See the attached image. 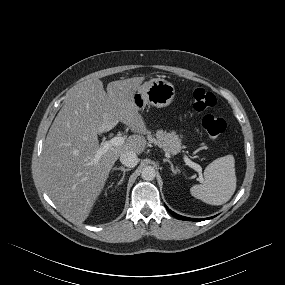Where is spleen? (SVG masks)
I'll return each instance as SVG.
<instances>
[{
    "label": "spleen",
    "mask_w": 285,
    "mask_h": 285,
    "mask_svg": "<svg viewBox=\"0 0 285 285\" xmlns=\"http://www.w3.org/2000/svg\"><path fill=\"white\" fill-rule=\"evenodd\" d=\"M204 182L191 187V194L211 205H222L236 190L235 159L226 155L211 162L204 170Z\"/></svg>",
    "instance_id": "obj_1"
}]
</instances>
